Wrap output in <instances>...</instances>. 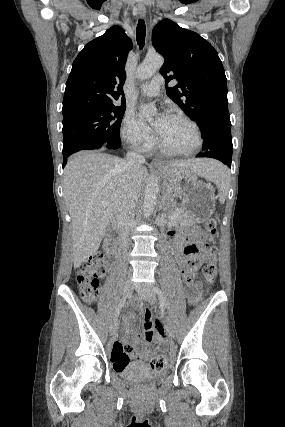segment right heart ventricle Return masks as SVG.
I'll return each instance as SVG.
<instances>
[{"instance_id": "1", "label": "right heart ventricle", "mask_w": 285, "mask_h": 427, "mask_svg": "<svg viewBox=\"0 0 285 427\" xmlns=\"http://www.w3.org/2000/svg\"><path fill=\"white\" fill-rule=\"evenodd\" d=\"M154 147H155V146H153L150 150L154 149ZM162 151H163V152H165V153H167V154H169V152H166V151H164L163 149H162Z\"/></svg>"}]
</instances>
